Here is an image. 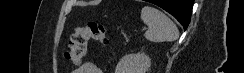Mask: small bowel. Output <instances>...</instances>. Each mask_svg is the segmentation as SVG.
I'll list each match as a JSON object with an SVG mask.
<instances>
[{
	"label": "small bowel",
	"mask_w": 244,
	"mask_h": 73,
	"mask_svg": "<svg viewBox=\"0 0 244 73\" xmlns=\"http://www.w3.org/2000/svg\"><path fill=\"white\" fill-rule=\"evenodd\" d=\"M73 73H103V71L93 62H85L74 70Z\"/></svg>",
	"instance_id": "obj_1"
}]
</instances>
